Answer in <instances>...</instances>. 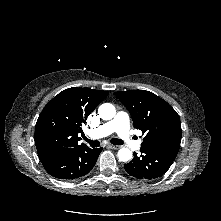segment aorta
<instances>
[{"label": "aorta", "instance_id": "1", "mask_svg": "<svg viewBox=\"0 0 221 221\" xmlns=\"http://www.w3.org/2000/svg\"><path fill=\"white\" fill-rule=\"evenodd\" d=\"M99 117L103 120H111L115 114L116 109L110 103L102 104L98 109ZM132 158V152L128 148H121L118 151V159L122 162H127Z\"/></svg>", "mask_w": 221, "mask_h": 221}]
</instances>
